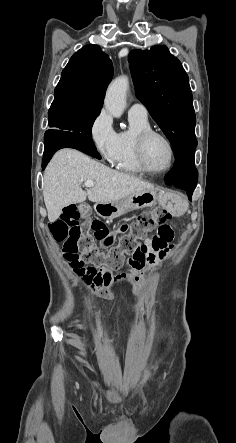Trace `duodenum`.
I'll return each instance as SVG.
<instances>
[{
	"label": "duodenum",
	"mask_w": 236,
	"mask_h": 443,
	"mask_svg": "<svg viewBox=\"0 0 236 443\" xmlns=\"http://www.w3.org/2000/svg\"><path fill=\"white\" fill-rule=\"evenodd\" d=\"M97 211H98L100 214H102V215H106V213L103 211V208H102V207H98V208H97Z\"/></svg>",
	"instance_id": "410a0bca"
}]
</instances>
